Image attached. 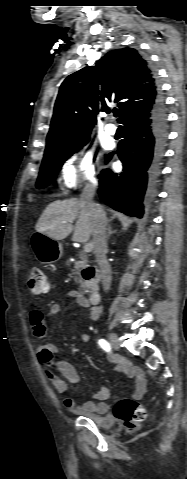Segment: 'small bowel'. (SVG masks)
Wrapping results in <instances>:
<instances>
[{
  "label": "small bowel",
  "mask_w": 187,
  "mask_h": 479,
  "mask_svg": "<svg viewBox=\"0 0 187 479\" xmlns=\"http://www.w3.org/2000/svg\"><path fill=\"white\" fill-rule=\"evenodd\" d=\"M67 296L73 299L79 306L88 309L90 318L95 321L99 317V310L91 305L87 297L79 291H69ZM62 311L60 303L52 304L47 312H41L39 309L31 310L29 320L33 335L36 338H41L45 332V320L50 317L58 315ZM90 335L83 333L81 335L82 341H88ZM58 352V347L55 344H48L40 346L38 349V361L44 367V373L50 381L56 392L64 395L63 404L70 411H81L94 414H105L108 411V404L106 400L109 398V389L101 387L92 400L79 401L75 398L66 395L68 384L76 385L79 382V375L75 367L65 361H56L55 356ZM56 368L59 374L55 373L53 369ZM116 370L134 380V397L142 399L146 394V380L143 371L138 367L131 366L127 361L118 360Z\"/></svg>",
  "instance_id": "1"
}]
</instances>
